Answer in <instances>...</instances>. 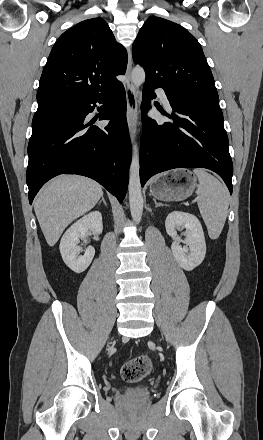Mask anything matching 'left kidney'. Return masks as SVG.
<instances>
[{
    "label": "left kidney",
    "instance_id": "5707ae66",
    "mask_svg": "<svg viewBox=\"0 0 263 440\" xmlns=\"http://www.w3.org/2000/svg\"><path fill=\"white\" fill-rule=\"evenodd\" d=\"M186 229L187 246H180L177 229ZM166 232L174 238L171 245L173 256L177 263L186 271H191L199 266L205 258L206 243L204 232L198 218L190 213L174 211L170 213L165 221Z\"/></svg>",
    "mask_w": 263,
    "mask_h": 440
}]
</instances>
